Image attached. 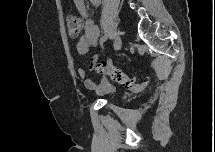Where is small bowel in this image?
Returning <instances> with one entry per match:
<instances>
[{"label": "small bowel", "instance_id": "1", "mask_svg": "<svg viewBox=\"0 0 215 152\" xmlns=\"http://www.w3.org/2000/svg\"><path fill=\"white\" fill-rule=\"evenodd\" d=\"M94 5H100L101 0H92ZM74 5L79 15L84 19V33L79 38L76 49L78 54L85 55L89 49L96 46L99 41L100 28L90 18L85 5L84 0H74ZM99 59L98 55L92 57L91 62H97ZM77 72L83 79V83L86 88L95 91L98 94H106L114 91V86L108 81L103 80L100 84L95 83L90 78H86V73L83 67H78Z\"/></svg>", "mask_w": 215, "mask_h": 152}]
</instances>
